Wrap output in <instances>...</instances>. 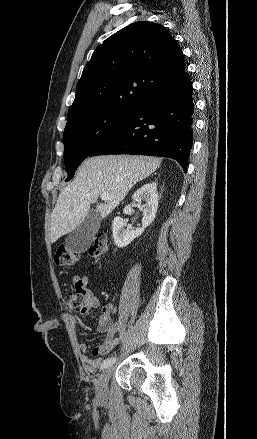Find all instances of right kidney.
I'll return each mask as SVG.
<instances>
[{
	"label": "right kidney",
	"mask_w": 257,
	"mask_h": 439,
	"mask_svg": "<svg viewBox=\"0 0 257 439\" xmlns=\"http://www.w3.org/2000/svg\"><path fill=\"white\" fill-rule=\"evenodd\" d=\"M133 201L141 205L143 210L142 227L133 229L127 226L123 218L116 217L112 222V233L116 246L119 248L126 247L135 238L139 237L144 229L149 226L155 219L158 208L157 183H146L141 186L132 196Z\"/></svg>",
	"instance_id": "right-kidney-1"
}]
</instances>
